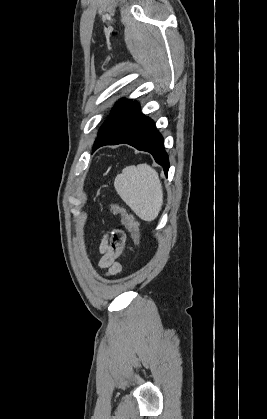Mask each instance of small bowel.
I'll return each instance as SVG.
<instances>
[{
  "label": "small bowel",
  "instance_id": "1",
  "mask_svg": "<svg viewBox=\"0 0 267 419\" xmlns=\"http://www.w3.org/2000/svg\"><path fill=\"white\" fill-rule=\"evenodd\" d=\"M125 235L121 230L113 231L109 236H105L99 246L98 266L106 270V275L112 276L122 270L119 262L124 256Z\"/></svg>",
  "mask_w": 267,
  "mask_h": 419
}]
</instances>
